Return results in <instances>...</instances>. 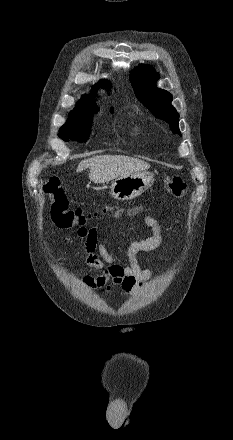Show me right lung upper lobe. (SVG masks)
<instances>
[{
	"label": "right lung upper lobe",
	"instance_id": "1",
	"mask_svg": "<svg viewBox=\"0 0 233 440\" xmlns=\"http://www.w3.org/2000/svg\"><path fill=\"white\" fill-rule=\"evenodd\" d=\"M96 86L105 87L107 83L105 81H100L96 84ZM76 108H94L97 109L94 99L90 95H85L82 99L77 103ZM113 110V108L111 109Z\"/></svg>",
	"mask_w": 233,
	"mask_h": 440
}]
</instances>
